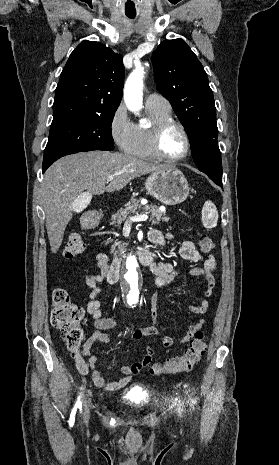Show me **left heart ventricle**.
<instances>
[{"mask_svg": "<svg viewBox=\"0 0 279 465\" xmlns=\"http://www.w3.org/2000/svg\"><path fill=\"white\" fill-rule=\"evenodd\" d=\"M161 149L167 156L180 155L184 150V138L177 127L167 128L161 138Z\"/></svg>", "mask_w": 279, "mask_h": 465, "instance_id": "b2bd125f", "label": "left heart ventricle"}]
</instances>
